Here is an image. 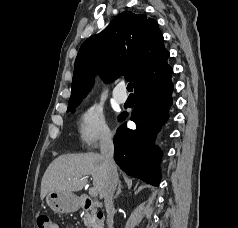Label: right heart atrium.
Returning <instances> with one entry per match:
<instances>
[{"mask_svg": "<svg viewBox=\"0 0 238 228\" xmlns=\"http://www.w3.org/2000/svg\"><path fill=\"white\" fill-rule=\"evenodd\" d=\"M77 130L81 145L88 150L110 142L113 137L105 113L96 103L86 106L81 111Z\"/></svg>", "mask_w": 238, "mask_h": 228, "instance_id": "right-heart-atrium-1", "label": "right heart atrium"}]
</instances>
